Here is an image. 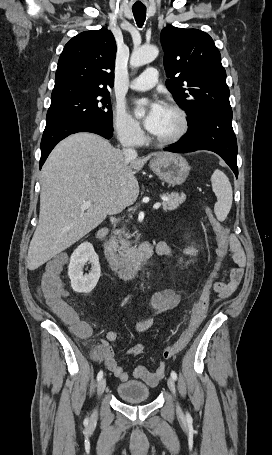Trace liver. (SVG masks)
Returning <instances> with one entry per match:
<instances>
[{
  "label": "liver",
  "mask_w": 272,
  "mask_h": 455,
  "mask_svg": "<svg viewBox=\"0 0 272 455\" xmlns=\"http://www.w3.org/2000/svg\"><path fill=\"white\" fill-rule=\"evenodd\" d=\"M154 153L126 160L124 153L92 133L61 141L42 168L39 222L30 242L27 267L33 271L79 241L107 215L134 204L135 171ZM91 201L88 209L81 205Z\"/></svg>",
  "instance_id": "obj_1"
}]
</instances>
